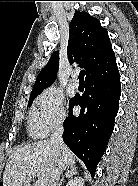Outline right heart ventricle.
<instances>
[{
  "label": "right heart ventricle",
  "instance_id": "obj_1",
  "mask_svg": "<svg viewBox=\"0 0 138 186\" xmlns=\"http://www.w3.org/2000/svg\"><path fill=\"white\" fill-rule=\"evenodd\" d=\"M29 128H30L31 134L36 137H41L44 135L42 130L38 126L35 109H33L31 116L29 118Z\"/></svg>",
  "mask_w": 138,
  "mask_h": 186
}]
</instances>
